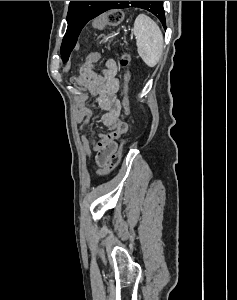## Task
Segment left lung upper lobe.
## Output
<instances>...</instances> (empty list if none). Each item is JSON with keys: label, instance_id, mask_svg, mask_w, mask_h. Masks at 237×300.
I'll return each mask as SVG.
<instances>
[{"label": "left lung upper lobe", "instance_id": "left-lung-upper-lobe-1", "mask_svg": "<svg viewBox=\"0 0 237 300\" xmlns=\"http://www.w3.org/2000/svg\"><path fill=\"white\" fill-rule=\"evenodd\" d=\"M109 2L110 1H70L66 18L68 27L60 48L63 62L68 60L83 27L90 20L102 14ZM119 7V9L133 7L145 9L154 14L161 21L164 28L166 27L165 13L160 12V1H120Z\"/></svg>", "mask_w": 237, "mask_h": 300}]
</instances>
